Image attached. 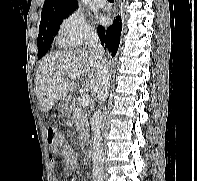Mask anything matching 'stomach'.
I'll return each instance as SVG.
<instances>
[{
    "label": "stomach",
    "mask_w": 197,
    "mask_h": 181,
    "mask_svg": "<svg viewBox=\"0 0 197 181\" xmlns=\"http://www.w3.org/2000/svg\"><path fill=\"white\" fill-rule=\"evenodd\" d=\"M71 109V98L67 97L61 100V102L58 105V110L60 113L66 114Z\"/></svg>",
    "instance_id": "1"
}]
</instances>
